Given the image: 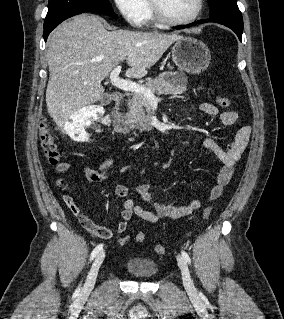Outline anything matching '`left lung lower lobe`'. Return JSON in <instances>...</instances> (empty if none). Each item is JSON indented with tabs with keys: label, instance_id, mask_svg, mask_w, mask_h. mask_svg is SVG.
Returning <instances> with one entry per match:
<instances>
[{
	"label": "left lung lower lobe",
	"instance_id": "1",
	"mask_svg": "<svg viewBox=\"0 0 284 319\" xmlns=\"http://www.w3.org/2000/svg\"><path fill=\"white\" fill-rule=\"evenodd\" d=\"M204 22H216V23L225 25L228 28H230L231 30H233L236 33V35L238 36L239 40L242 41L243 21H238V20L230 19V18H209L206 20H201L196 24H201ZM193 25L194 24L188 25V26H180V27H178V29L190 27Z\"/></svg>",
	"mask_w": 284,
	"mask_h": 319
}]
</instances>
